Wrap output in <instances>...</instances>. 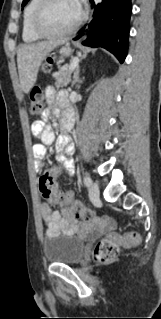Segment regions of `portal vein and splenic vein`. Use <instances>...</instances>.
<instances>
[{"mask_svg":"<svg viewBox=\"0 0 161 319\" xmlns=\"http://www.w3.org/2000/svg\"><path fill=\"white\" fill-rule=\"evenodd\" d=\"M78 62H79V59L78 58H74L72 63H71L70 69L73 70L78 65Z\"/></svg>","mask_w":161,"mask_h":319,"instance_id":"obj_1","label":"portal vein and splenic vein"}]
</instances>
